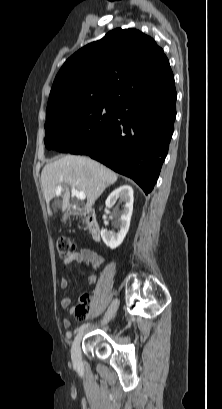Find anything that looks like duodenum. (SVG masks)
I'll return each mask as SVG.
<instances>
[{
	"label": "duodenum",
	"instance_id": "obj_1",
	"mask_svg": "<svg viewBox=\"0 0 222 409\" xmlns=\"http://www.w3.org/2000/svg\"><path fill=\"white\" fill-rule=\"evenodd\" d=\"M80 212L84 213L86 226L90 236L92 237L93 240L99 241L101 238V234L94 210L90 207L85 208L70 207L68 210L69 215H74Z\"/></svg>",
	"mask_w": 222,
	"mask_h": 409
}]
</instances>
